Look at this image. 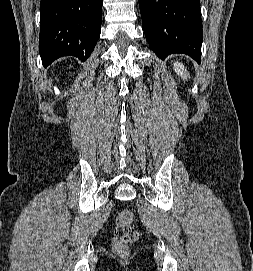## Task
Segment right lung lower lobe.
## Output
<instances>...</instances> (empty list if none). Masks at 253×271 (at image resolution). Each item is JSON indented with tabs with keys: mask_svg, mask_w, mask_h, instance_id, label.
Returning <instances> with one entry per match:
<instances>
[{
	"mask_svg": "<svg viewBox=\"0 0 253 271\" xmlns=\"http://www.w3.org/2000/svg\"><path fill=\"white\" fill-rule=\"evenodd\" d=\"M102 0H41L40 56L45 67L62 56L85 61L101 32Z\"/></svg>",
	"mask_w": 253,
	"mask_h": 271,
	"instance_id": "obj_1",
	"label": "right lung lower lobe"
}]
</instances>
